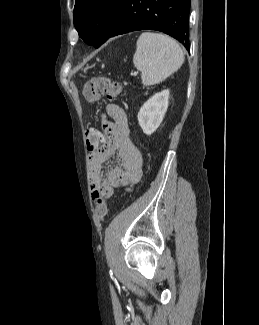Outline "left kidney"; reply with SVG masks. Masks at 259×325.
I'll list each match as a JSON object with an SVG mask.
<instances>
[{
	"instance_id": "1",
	"label": "left kidney",
	"mask_w": 259,
	"mask_h": 325,
	"mask_svg": "<svg viewBox=\"0 0 259 325\" xmlns=\"http://www.w3.org/2000/svg\"><path fill=\"white\" fill-rule=\"evenodd\" d=\"M169 90L156 93L146 101L138 112V122L143 132L151 135L160 126L169 103Z\"/></svg>"
}]
</instances>
